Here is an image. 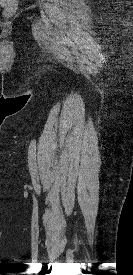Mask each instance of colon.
Returning a JSON list of instances; mask_svg holds the SVG:
<instances>
[{"instance_id":"1","label":"colon","mask_w":133,"mask_h":275,"mask_svg":"<svg viewBox=\"0 0 133 275\" xmlns=\"http://www.w3.org/2000/svg\"><path fill=\"white\" fill-rule=\"evenodd\" d=\"M2 8L5 15H12L17 9L16 0H3Z\"/></svg>"}]
</instances>
